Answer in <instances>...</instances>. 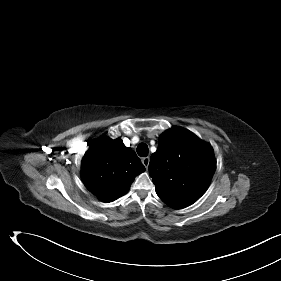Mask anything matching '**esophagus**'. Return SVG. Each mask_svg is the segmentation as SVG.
Segmentation results:
<instances>
[{
  "label": "esophagus",
  "mask_w": 281,
  "mask_h": 281,
  "mask_svg": "<svg viewBox=\"0 0 281 281\" xmlns=\"http://www.w3.org/2000/svg\"><path fill=\"white\" fill-rule=\"evenodd\" d=\"M142 163L145 166V168L147 169L150 163V158L149 157H144L142 158Z\"/></svg>",
  "instance_id": "obj_1"
}]
</instances>
